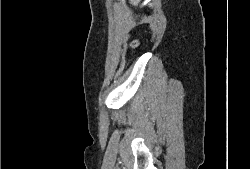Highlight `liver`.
Segmentation results:
<instances>
[{
  "label": "liver",
  "instance_id": "1",
  "mask_svg": "<svg viewBox=\"0 0 250 169\" xmlns=\"http://www.w3.org/2000/svg\"><path fill=\"white\" fill-rule=\"evenodd\" d=\"M140 0H130V4H133V6H138Z\"/></svg>",
  "mask_w": 250,
  "mask_h": 169
}]
</instances>
